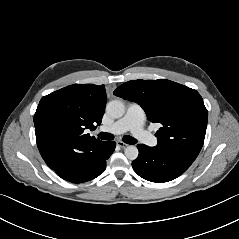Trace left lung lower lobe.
I'll use <instances>...</instances> for the list:
<instances>
[{
	"label": "left lung lower lobe",
	"instance_id": "1",
	"mask_svg": "<svg viewBox=\"0 0 239 239\" xmlns=\"http://www.w3.org/2000/svg\"><path fill=\"white\" fill-rule=\"evenodd\" d=\"M138 157L132 162L134 171L143 179L163 183L183 174L193 161L159 147L137 145Z\"/></svg>",
	"mask_w": 239,
	"mask_h": 239
}]
</instances>
